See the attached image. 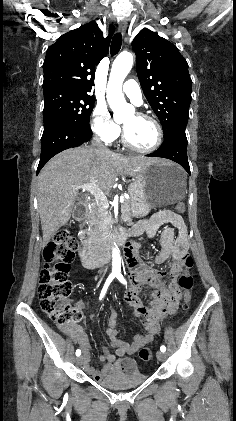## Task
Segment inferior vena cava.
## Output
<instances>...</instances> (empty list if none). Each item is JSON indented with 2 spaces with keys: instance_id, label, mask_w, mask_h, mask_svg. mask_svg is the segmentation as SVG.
<instances>
[{
  "instance_id": "1",
  "label": "inferior vena cava",
  "mask_w": 236,
  "mask_h": 421,
  "mask_svg": "<svg viewBox=\"0 0 236 421\" xmlns=\"http://www.w3.org/2000/svg\"><path fill=\"white\" fill-rule=\"evenodd\" d=\"M92 146H98V148H102V150H109L105 144H101L100 138H98V136H93Z\"/></svg>"
}]
</instances>
